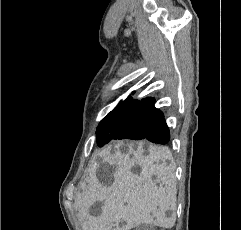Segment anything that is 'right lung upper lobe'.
<instances>
[{
	"instance_id": "1",
	"label": "right lung upper lobe",
	"mask_w": 241,
	"mask_h": 230,
	"mask_svg": "<svg viewBox=\"0 0 241 230\" xmlns=\"http://www.w3.org/2000/svg\"><path fill=\"white\" fill-rule=\"evenodd\" d=\"M134 94V92H132ZM153 98H144L141 101L140 100H132L131 97H128L125 101H121L115 109H113L111 112L118 111L122 114L127 113H137L140 108L144 105H147ZM110 112V113H111Z\"/></svg>"
}]
</instances>
